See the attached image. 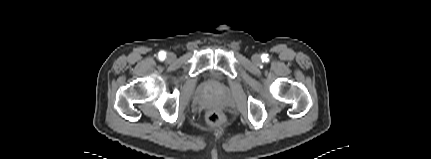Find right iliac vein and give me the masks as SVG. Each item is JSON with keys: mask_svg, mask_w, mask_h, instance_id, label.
Instances as JSON below:
<instances>
[{"mask_svg": "<svg viewBox=\"0 0 431 159\" xmlns=\"http://www.w3.org/2000/svg\"><path fill=\"white\" fill-rule=\"evenodd\" d=\"M174 58H175L174 54H169V55H168V59H169V60H173Z\"/></svg>", "mask_w": 431, "mask_h": 159, "instance_id": "obj_1", "label": "right iliac vein"}]
</instances>
